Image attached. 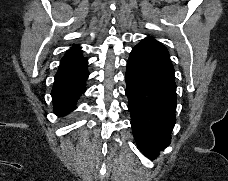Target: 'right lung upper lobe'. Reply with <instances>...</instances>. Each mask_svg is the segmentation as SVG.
Returning <instances> with one entry per match:
<instances>
[{
	"instance_id": "right-lung-upper-lobe-1",
	"label": "right lung upper lobe",
	"mask_w": 228,
	"mask_h": 181,
	"mask_svg": "<svg viewBox=\"0 0 228 181\" xmlns=\"http://www.w3.org/2000/svg\"><path fill=\"white\" fill-rule=\"evenodd\" d=\"M77 48V46H74L72 49H70L69 51H72V50H74V49H76Z\"/></svg>"
}]
</instances>
